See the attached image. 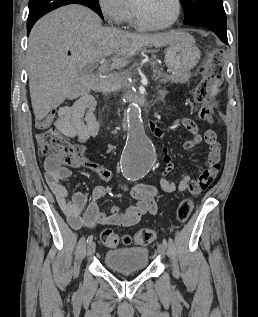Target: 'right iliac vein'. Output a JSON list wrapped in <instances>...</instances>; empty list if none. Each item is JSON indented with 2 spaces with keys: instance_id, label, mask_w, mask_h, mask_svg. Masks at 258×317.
<instances>
[{
  "instance_id": "obj_1",
  "label": "right iliac vein",
  "mask_w": 258,
  "mask_h": 317,
  "mask_svg": "<svg viewBox=\"0 0 258 317\" xmlns=\"http://www.w3.org/2000/svg\"><path fill=\"white\" fill-rule=\"evenodd\" d=\"M87 247V257H92V255L96 252V242L90 241Z\"/></svg>"
}]
</instances>
